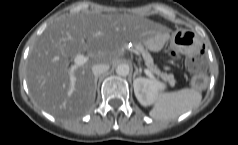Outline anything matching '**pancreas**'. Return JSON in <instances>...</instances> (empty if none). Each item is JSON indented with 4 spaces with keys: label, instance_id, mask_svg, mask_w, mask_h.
Returning <instances> with one entry per match:
<instances>
[{
    "label": "pancreas",
    "instance_id": "cf45deb5",
    "mask_svg": "<svg viewBox=\"0 0 238 145\" xmlns=\"http://www.w3.org/2000/svg\"><path fill=\"white\" fill-rule=\"evenodd\" d=\"M135 51L140 53L143 56V59L145 61V64L147 68L157 76L161 77L163 80L167 81L170 86L175 85V79L172 74H167L161 72L157 65L154 64L153 58L151 57L150 53L141 45V44H136L135 45Z\"/></svg>",
    "mask_w": 238,
    "mask_h": 145
}]
</instances>
